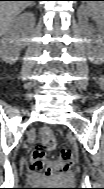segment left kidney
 Instances as JSON below:
<instances>
[{"mask_svg": "<svg viewBox=\"0 0 104 189\" xmlns=\"http://www.w3.org/2000/svg\"><path fill=\"white\" fill-rule=\"evenodd\" d=\"M85 17H92L99 25H103L104 13L103 8L99 10H94L87 6H81L79 10V21L82 27L87 25ZM98 47L93 51L88 52V58L91 62L100 64L104 59V49H103V38L98 37L96 40Z\"/></svg>", "mask_w": 104, "mask_h": 189, "instance_id": "left-kidney-1", "label": "left kidney"}]
</instances>
